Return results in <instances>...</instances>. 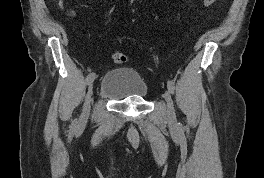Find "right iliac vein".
Returning <instances> with one entry per match:
<instances>
[{"label": "right iliac vein", "instance_id": "right-iliac-vein-1", "mask_svg": "<svg viewBox=\"0 0 264 178\" xmlns=\"http://www.w3.org/2000/svg\"><path fill=\"white\" fill-rule=\"evenodd\" d=\"M93 81H94V79H92L91 82L89 83L88 91H87V94L85 97L84 107H83V111H82L81 118H80L81 124H83L87 121V118L89 115L90 101H91V97L93 95Z\"/></svg>", "mask_w": 264, "mask_h": 178}]
</instances>
